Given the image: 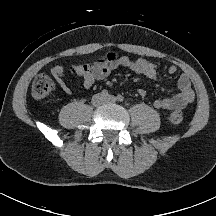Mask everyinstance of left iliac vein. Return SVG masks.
<instances>
[{
	"label": "left iliac vein",
	"instance_id": "1",
	"mask_svg": "<svg viewBox=\"0 0 216 216\" xmlns=\"http://www.w3.org/2000/svg\"><path fill=\"white\" fill-rule=\"evenodd\" d=\"M116 98L113 95H109L108 97L104 98V103H115Z\"/></svg>",
	"mask_w": 216,
	"mask_h": 216
}]
</instances>
